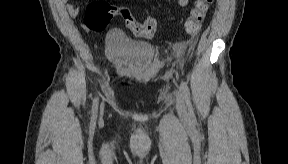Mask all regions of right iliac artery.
I'll return each instance as SVG.
<instances>
[{
    "label": "right iliac artery",
    "instance_id": "1",
    "mask_svg": "<svg viewBox=\"0 0 288 164\" xmlns=\"http://www.w3.org/2000/svg\"><path fill=\"white\" fill-rule=\"evenodd\" d=\"M98 98H95L92 105V116L95 119L97 116Z\"/></svg>",
    "mask_w": 288,
    "mask_h": 164
}]
</instances>
